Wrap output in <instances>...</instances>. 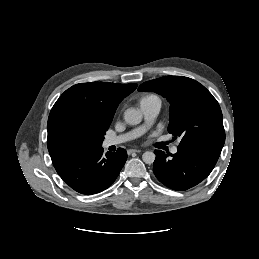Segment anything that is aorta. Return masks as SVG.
<instances>
[{
	"instance_id": "aorta-1",
	"label": "aorta",
	"mask_w": 259,
	"mask_h": 259,
	"mask_svg": "<svg viewBox=\"0 0 259 259\" xmlns=\"http://www.w3.org/2000/svg\"><path fill=\"white\" fill-rule=\"evenodd\" d=\"M125 122L129 125H137L142 121V114L136 109H127L124 113ZM142 160L146 164H152L155 160V154L151 151H146L142 155Z\"/></svg>"
}]
</instances>
